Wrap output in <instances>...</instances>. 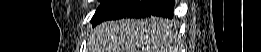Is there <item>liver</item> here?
I'll return each mask as SVG.
<instances>
[{
    "mask_svg": "<svg viewBox=\"0 0 261 52\" xmlns=\"http://www.w3.org/2000/svg\"><path fill=\"white\" fill-rule=\"evenodd\" d=\"M175 38L174 25L163 18L105 21L91 33L90 52H171Z\"/></svg>",
    "mask_w": 261,
    "mask_h": 52,
    "instance_id": "1",
    "label": "liver"
}]
</instances>
